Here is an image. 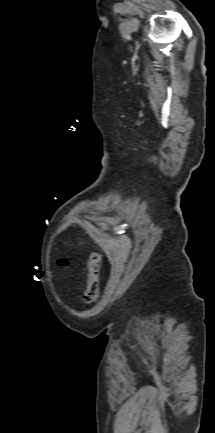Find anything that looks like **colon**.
Instances as JSON below:
<instances>
[{
  "label": "colon",
  "mask_w": 215,
  "mask_h": 433,
  "mask_svg": "<svg viewBox=\"0 0 215 433\" xmlns=\"http://www.w3.org/2000/svg\"><path fill=\"white\" fill-rule=\"evenodd\" d=\"M69 263L68 259L60 258L58 264L61 267L67 266ZM100 269H101V256L97 251L92 252L89 255L87 261V285L83 294V301L85 304L90 305L95 302L99 292L100 286Z\"/></svg>",
  "instance_id": "colon-1"
}]
</instances>
